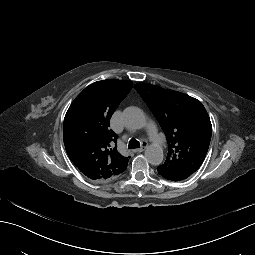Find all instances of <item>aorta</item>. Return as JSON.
<instances>
[{"label": "aorta", "instance_id": "1", "mask_svg": "<svg viewBox=\"0 0 255 255\" xmlns=\"http://www.w3.org/2000/svg\"><path fill=\"white\" fill-rule=\"evenodd\" d=\"M123 120L127 127L131 129H141L146 125V118L141 109L128 107L123 111ZM146 160L154 166L163 162V150L158 145H150L145 150Z\"/></svg>", "mask_w": 255, "mask_h": 255}]
</instances>
